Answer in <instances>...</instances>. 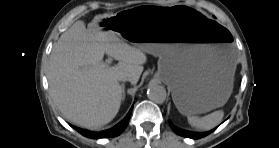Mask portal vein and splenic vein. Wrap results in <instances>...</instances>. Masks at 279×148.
Wrapping results in <instances>:
<instances>
[{"label":"portal vein and splenic vein","instance_id":"portal-vein-and-splenic-vein-1","mask_svg":"<svg viewBox=\"0 0 279 148\" xmlns=\"http://www.w3.org/2000/svg\"><path fill=\"white\" fill-rule=\"evenodd\" d=\"M106 65H109V64H111V59L110 58H108L107 60H106V63H105Z\"/></svg>","mask_w":279,"mask_h":148}]
</instances>
